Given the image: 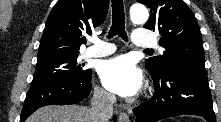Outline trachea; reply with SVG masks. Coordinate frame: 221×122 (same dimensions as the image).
<instances>
[{
  "label": "trachea",
  "mask_w": 221,
  "mask_h": 122,
  "mask_svg": "<svg viewBox=\"0 0 221 122\" xmlns=\"http://www.w3.org/2000/svg\"><path fill=\"white\" fill-rule=\"evenodd\" d=\"M116 35L127 41L123 0H112V26L110 27L108 38H112ZM145 51L152 50L146 49Z\"/></svg>",
  "instance_id": "3493384b"
}]
</instances>
